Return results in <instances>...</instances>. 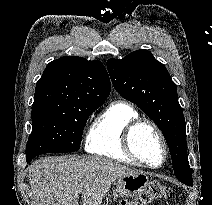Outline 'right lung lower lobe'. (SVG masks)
<instances>
[{
	"label": "right lung lower lobe",
	"instance_id": "obj_1",
	"mask_svg": "<svg viewBox=\"0 0 212 205\" xmlns=\"http://www.w3.org/2000/svg\"><path fill=\"white\" fill-rule=\"evenodd\" d=\"M32 159H27V162L30 163Z\"/></svg>",
	"mask_w": 212,
	"mask_h": 205
}]
</instances>
